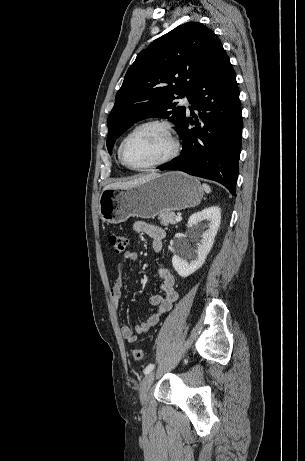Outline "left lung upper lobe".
Segmentation results:
<instances>
[{
  "mask_svg": "<svg viewBox=\"0 0 305 461\" xmlns=\"http://www.w3.org/2000/svg\"><path fill=\"white\" fill-rule=\"evenodd\" d=\"M222 49L212 30L188 22L141 51L124 77L108 117L109 153L115 140L139 120L166 118L178 128L186 108L177 106L176 99L189 97Z\"/></svg>",
  "mask_w": 305,
  "mask_h": 461,
  "instance_id": "left-lung-upper-lobe-1",
  "label": "left lung upper lobe"
}]
</instances>
